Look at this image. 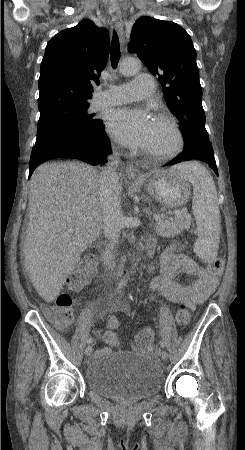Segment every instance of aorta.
Returning a JSON list of instances; mask_svg holds the SVG:
<instances>
[{"label":"aorta","instance_id":"aorta-1","mask_svg":"<svg viewBox=\"0 0 245 450\" xmlns=\"http://www.w3.org/2000/svg\"><path fill=\"white\" fill-rule=\"evenodd\" d=\"M141 67V63L137 59H124L120 64V72L125 75H133L136 74Z\"/></svg>","mask_w":245,"mask_h":450}]
</instances>
